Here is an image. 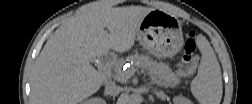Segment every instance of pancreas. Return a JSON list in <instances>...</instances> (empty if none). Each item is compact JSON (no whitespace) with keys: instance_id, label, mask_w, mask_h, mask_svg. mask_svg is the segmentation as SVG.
I'll return each instance as SVG.
<instances>
[{"instance_id":"cf45deb5","label":"pancreas","mask_w":252,"mask_h":104,"mask_svg":"<svg viewBox=\"0 0 252 104\" xmlns=\"http://www.w3.org/2000/svg\"><path fill=\"white\" fill-rule=\"evenodd\" d=\"M129 60L132 61L131 70L135 71L137 69H144L149 72L152 76L154 83L163 86H174L179 83L180 79L177 74H175L168 65L166 64H156L149 59L148 56L138 55L130 57ZM123 65V62L116 61L112 65L111 72L115 74L118 69ZM118 78L121 80L127 79L126 77L120 75Z\"/></svg>"}]
</instances>
